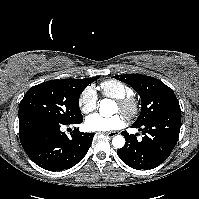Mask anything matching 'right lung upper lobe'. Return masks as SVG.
<instances>
[{"instance_id":"obj_1","label":"right lung upper lobe","mask_w":199,"mask_h":199,"mask_svg":"<svg viewBox=\"0 0 199 199\" xmlns=\"http://www.w3.org/2000/svg\"><path fill=\"white\" fill-rule=\"evenodd\" d=\"M93 79H94V77L93 78H85V79H79L81 82H85V83H92L93 82ZM95 81V80H94Z\"/></svg>"}]
</instances>
